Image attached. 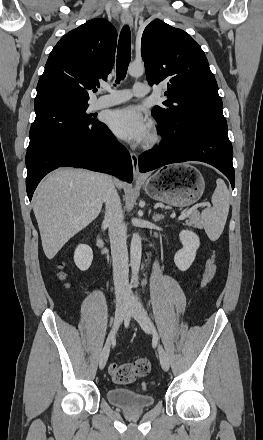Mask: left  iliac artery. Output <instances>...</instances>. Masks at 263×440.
Wrapping results in <instances>:
<instances>
[{
    "label": "left iliac artery",
    "mask_w": 263,
    "mask_h": 440,
    "mask_svg": "<svg viewBox=\"0 0 263 440\" xmlns=\"http://www.w3.org/2000/svg\"><path fill=\"white\" fill-rule=\"evenodd\" d=\"M151 326H152V328H153L154 337L158 339V335H157L156 329H155V327H154V325H153L152 322H151Z\"/></svg>",
    "instance_id": "obj_1"
}]
</instances>
